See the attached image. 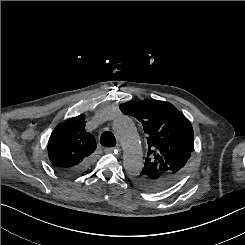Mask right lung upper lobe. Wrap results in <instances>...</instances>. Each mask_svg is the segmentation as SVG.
<instances>
[{
	"mask_svg": "<svg viewBox=\"0 0 245 245\" xmlns=\"http://www.w3.org/2000/svg\"><path fill=\"white\" fill-rule=\"evenodd\" d=\"M96 149L94 136L85 130L83 115L56 126L48 142V155L58 169L70 170L82 164Z\"/></svg>",
	"mask_w": 245,
	"mask_h": 245,
	"instance_id": "right-lung-upper-lobe-1",
	"label": "right lung upper lobe"
}]
</instances>
